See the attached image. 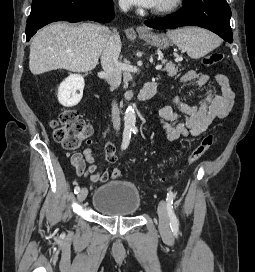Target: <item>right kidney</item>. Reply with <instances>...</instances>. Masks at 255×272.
I'll return each mask as SVG.
<instances>
[{
    "label": "right kidney",
    "mask_w": 255,
    "mask_h": 272,
    "mask_svg": "<svg viewBox=\"0 0 255 272\" xmlns=\"http://www.w3.org/2000/svg\"><path fill=\"white\" fill-rule=\"evenodd\" d=\"M84 78L79 74H71L58 88V101L65 107L76 106L82 99Z\"/></svg>",
    "instance_id": "1"
}]
</instances>
